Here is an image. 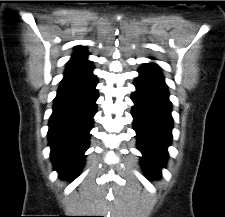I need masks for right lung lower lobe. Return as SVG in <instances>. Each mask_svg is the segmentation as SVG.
<instances>
[{"label":"right lung lower lobe","instance_id":"98d812e1","mask_svg":"<svg viewBox=\"0 0 225 217\" xmlns=\"http://www.w3.org/2000/svg\"><path fill=\"white\" fill-rule=\"evenodd\" d=\"M97 78L61 83L49 121L51 159L60 178H72L82 169L89 147V131L97 111Z\"/></svg>","mask_w":225,"mask_h":217}]
</instances>
